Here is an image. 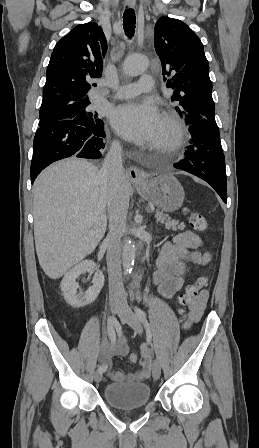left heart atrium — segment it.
<instances>
[{
	"mask_svg": "<svg viewBox=\"0 0 259 448\" xmlns=\"http://www.w3.org/2000/svg\"><path fill=\"white\" fill-rule=\"evenodd\" d=\"M110 120L120 136L135 143L152 137L162 122L158 107L150 101L124 103L114 108Z\"/></svg>",
	"mask_w": 259,
	"mask_h": 448,
	"instance_id": "left-heart-atrium-1",
	"label": "left heart atrium"
}]
</instances>
